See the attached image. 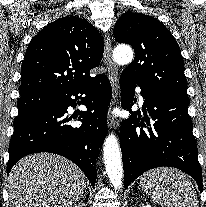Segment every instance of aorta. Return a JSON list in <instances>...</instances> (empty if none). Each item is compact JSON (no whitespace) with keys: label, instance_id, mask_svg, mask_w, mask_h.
I'll return each mask as SVG.
<instances>
[{"label":"aorta","instance_id":"aorta-1","mask_svg":"<svg viewBox=\"0 0 206 207\" xmlns=\"http://www.w3.org/2000/svg\"><path fill=\"white\" fill-rule=\"evenodd\" d=\"M114 60L118 64H128L133 59V51L129 46H118L113 51ZM103 158L107 175L115 190L122 187L123 167L118 140L109 134L103 145Z\"/></svg>","mask_w":206,"mask_h":207}]
</instances>
